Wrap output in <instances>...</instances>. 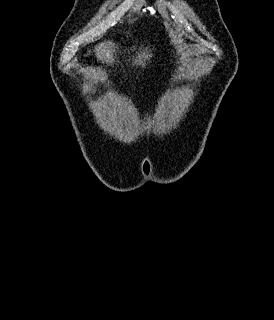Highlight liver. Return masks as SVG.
Segmentation results:
<instances>
[{
  "label": "liver",
  "mask_w": 274,
  "mask_h": 320,
  "mask_svg": "<svg viewBox=\"0 0 274 320\" xmlns=\"http://www.w3.org/2000/svg\"><path fill=\"white\" fill-rule=\"evenodd\" d=\"M116 50H119V48L118 46L117 48H115V44H113V42H101V44L95 46L92 52H95L97 60H101V62H109V64H114ZM90 52L91 50H89L88 54H85V56H89ZM137 54V60H134L132 64H137V66H142V68H144V66H146L144 62H146V60H150L151 54H149L147 48H145L144 52H137Z\"/></svg>",
  "instance_id": "liver-1"
}]
</instances>
